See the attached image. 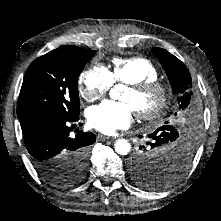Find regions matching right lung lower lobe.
<instances>
[{"label": "right lung lower lobe", "mask_w": 221, "mask_h": 221, "mask_svg": "<svg viewBox=\"0 0 221 221\" xmlns=\"http://www.w3.org/2000/svg\"><path fill=\"white\" fill-rule=\"evenodd\" d=\"M79 120V113L62 115L52 111H38L19 119L25 144L32 156V163L39 173L62 162L67 153L88 148L96 141L91 132L82 131L75 138L69 134L70 126Z\"/></svg>", "instance_id": "right-lung-lower-lobe-1"}]
</instances>
